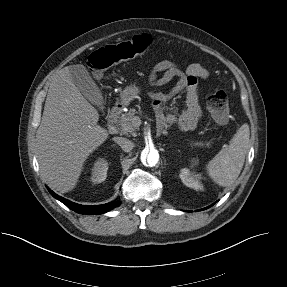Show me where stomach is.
<instances>
[{
    "label": "stomach",
    "instance_id": "0dacf381",
    "mask_svg": "<svg viewBox=\"0 0 287 287\" xmlns=\"http://www.w3.org/2000/svg\"><path fill=\"white\" fill-rule=\"evenodd\" d=\"M139 88L136 86H128L121 92V100L124 104H129L131 100H133L137 94L139 93Z\"/></svg>",
    "mask_w": 287,
    "mask_h": 287
}]
</instances>
